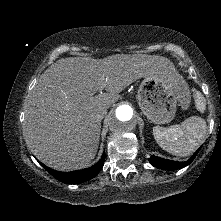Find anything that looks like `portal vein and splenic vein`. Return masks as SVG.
<instances>
[{
  "mask_svg": "<svg viewBox=\"0 0 221 221\" xmlns=\"http://www.w3.org/2000/svg\"><path fill=\"white\" fill-rule=\"evenodd\" d=\"M103 88H104V86H101V87H100V90H102Z\"/></svg>",
  "mask_w": 221,
  "mask_h": 221,
  "instance_id": "18ae733b",
  "label": "portal vein and splenic vein"
}]
</instances>
